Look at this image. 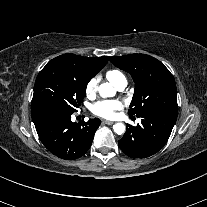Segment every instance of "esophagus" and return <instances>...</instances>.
<instances>
[{"label":"esophagus","instance_id":"34e87169","mask_svg":"<svg viewBox=\"0 0 207 207\" xmlns=\"http://www.w3.org/2000/svg\"><path fill=\"white\" fill-rule=\"evenodd\" d=\"M102 123H104L106 125H112V124H114L113 121H109V120H103Z\"/></svg>","mask_w":207,"mask_h":207}]
</instances>
